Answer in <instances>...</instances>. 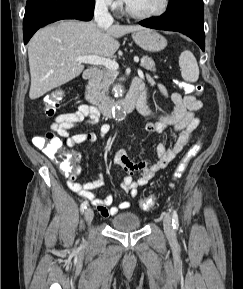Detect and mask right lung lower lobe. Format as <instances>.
<instances>
[{"instance_id": "98d812e1", "label": "right lung lower lobe", "mask_w": 243, "mask_h": 289, "mask_svg": "<svg viewBox=\"0 0 243 289\" xmlns=\"http://www.w3.org/2000/svg\"><path fill=\"white\" fill-rule=\"evenodd\" d=\"M95 0H27L23 21L24 43L49 23L61 19L89 21L93 17Z\"/></svg>"}]
</instances>
